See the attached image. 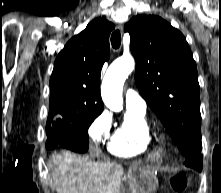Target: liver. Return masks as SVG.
Returning <instances> with one entry per match:
<instances>
[{
    "label": "liver",
    "instance_id": "obj_1",
    "mask_svg": "<svg viewBox=\"0 0 221 193\" xmlns=\"http://www.w3.org/2000/svg\"><path fill=\"white\" fill-rule=\"evenodd\" d=\"M57 193H119L123 169L110 161H98L69 151L49 159Z\"/></svg>",
    "mask_w": 221,
    "mask_h": 193
}]
</instances>
